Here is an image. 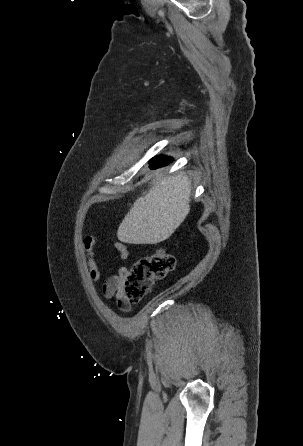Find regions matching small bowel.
<instances>
[{"label":"small bowel","instance_id":"c3829d8e","mask_svg":"<svg viewBox=\"0 0 303 446\" xmlns=\"http://www.w3.org/2000/svg\"><path fill=\"white\" fill-rule=\"evenodd\" d=\"M98 242V236L89 234L82 240V255L85 264L88 268V275L91 282L96 283L101 277L100 269L94 259V248ZM114 247L118 252L120 259L124 260L128 257V250L126 246L119 241L114 242ZM128 274V269L120 266L117 271L110 275L102 285V293L106 299L116 298L118 307L127 311L130 304L126 302L124 297L125 280Z\"/></svg>","mask_w":303,"mask_h":446}]
</instances>
